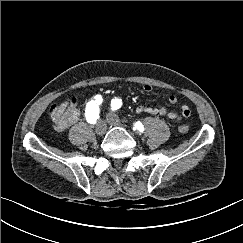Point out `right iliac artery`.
<instances>
[{"label":"right iliac artery","instance_id":"right-iliac-artery-1","mask_svg":"<svg viewBox=\"0 0 243 243\" xmlns=\"http://www.w3.org/2000/svg\"><path fill=\"white\" fill-rule=\"evenodd\" d=\"M94 99L87 103L85 110L86 119L91 124H95L99 118L100 109L98 105L102 103V97L100 95H96Z\"/></svg>","mask_w":243,"mask_h":243}]
</instances>
